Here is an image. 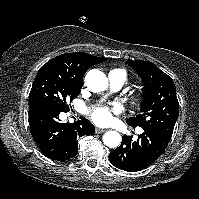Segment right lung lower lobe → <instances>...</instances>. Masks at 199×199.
<instances>
[{
  "mask_svg": "<svg viewBox=\"0 0 199 199\" xmlns=\"http://www.w3.org/2000/svg\"><path fill=\"white\" fill-rule=\"evenodd\" d=\"M63 112L49 102L29 105L31 135L40 151L49 159L65 161L78 153V139L93 135L94 126L84 117L74 123H62L59 114Z\"/></svg>",
  "mask_w": 199,
  "mask_h": 199,
  "instance_id": "98d812e1",
  "label": "right lung lower lobe"
}]
</instances>
